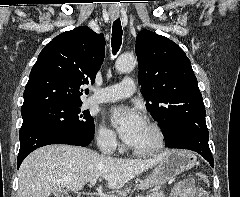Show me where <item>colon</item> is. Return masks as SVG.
<instances>
[{"instance_id": "colon-1", "label": "colon", "mask_w": 240, "mask_h": 197, "mask_svg": "<svg viewBox=\"0 0 240 197\" xmlns=\"http://www.w3.org/2000/svg\"><path fill=\"white\" fill-rule=\"evenodd\" d=\"M198 178H199V180L202 181L203 183H205V184L208 183V177H207V175L200 173V174H198Z\"/></svg>"}]
</instances>
